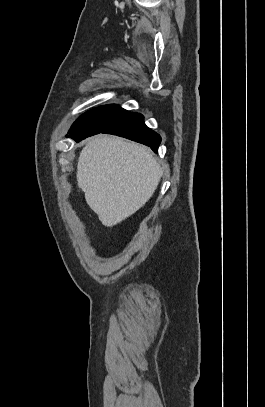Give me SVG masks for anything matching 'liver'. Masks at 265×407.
<instances>
[{
    "label": "liver",
    "mask_w": 265,
    "mask_h": 407,
    "mask_svg": "<svg viewBox=\"0 0 265 407\" xmlns=\"http://www.w3.org/2000/svg\"><path fill=\"white\" fill-rule=\"evenodd\" d=\"M76 176L87 204L104 226L113 227L152 197L162 170L149 148L100 134L80 152Z\"/></svg>",
    "instance_id": "obj_1"
}]
</instances>
